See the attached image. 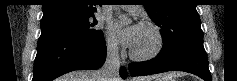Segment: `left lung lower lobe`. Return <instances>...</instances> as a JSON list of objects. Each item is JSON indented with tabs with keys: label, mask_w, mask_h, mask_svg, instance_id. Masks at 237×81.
Returning a JSON list of instances; mask_svg holds the SVG:
<instances>
[{
	"label": "left lung lower lobe",
	"mask_w": 237,
	"mask_h": 81,
	"mask_svg": "<svg viewBox=\"0 0 237 81\" xmlns=\"http://www.w3.org/2000/svg\"><path fill=\"white\" fill-rule=\"evenodd\" d=\"M133 76L151 75L172 70L195 74L205 81H212L203 38L188 40L171 51L160 52L149 61L130 63Z\"/></svg>",
	"instance_id": "obj_1"
}]
</instances>
